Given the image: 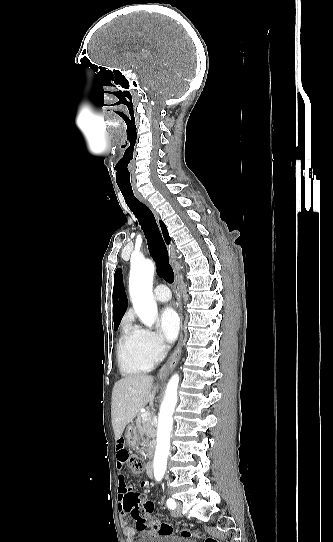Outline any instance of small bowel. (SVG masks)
Instances as JSON below:
<instances>
[{"instance_id":"c3829d8e","label":"small bowel","mask_w":333,"mask_h":542,"mask_svg":"<svg viewBox=\"0 0 333 542\" xmlns=\"http://www.w3.org/2000/svg\"><path fill=\"white\" fill-rule=\"evenodd\" d=\"M128 458V451L124 445V438L121 437L118 441V448H117V466L118 469H123L125 464L127 463ZM142 486L147 488L150 486L149 480H144L142 482ZM117 494H118V500H119V513L122 517L121 525L123 529V534L126 537V542H135V538L137 536V531L135 528L130 526L128 522L124 519L125 516L129 513V509L124 507V498L130 497V488L127 483L126 477L123 473H119L117 478ZM141 498H146V493H141Z\"/></svg>"}]
</instances>
